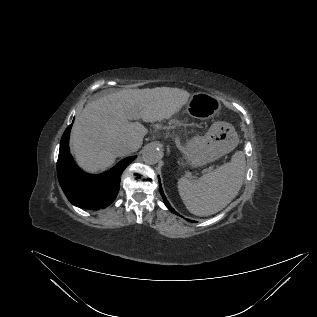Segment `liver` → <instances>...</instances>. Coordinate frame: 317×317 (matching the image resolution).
Masks as SVG:
<instances>
[{
  "label": "liver",
  "mask_w": 317,
  "mask_h": 317,
  "mask_svg": "<svg viewBox=\"0 0 317 317\" xmlns=\"http://www.w3.org/2000/svg\"><path fill=\"white\" fill-rule=\"evenodd\" d=\"M189 98L186 90L156 87L121 90L89 102L76 117L70 137L78 165L85 171L97 172L124 156L118 152L122 143L132 142L138 150L148 133L138 120L168 119Z\"/></svg>",
  "instance_id": "obj_1"
}]
</instances>
